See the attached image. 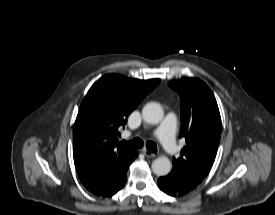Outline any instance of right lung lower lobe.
<instances>
[{
    "instance_id": "right-lung-lower-lobe-1",
    "label": "right lung lower lobe",
    "mask_w": 275,
    "mask_h": 215,
    "mask_svg": "<svg viewBox=\"0 0 275 215\" xmlns=\"http://www.w3.org/2000/svg\"><path fill=\"white\" fill-rule=\"evenodd\" d=\"M137 155L138 152L134 150L122 159L93 167L79 178L93 194L104 197L112 196L125 185L128 167Z\"/></svg>"
}]
</instances>
